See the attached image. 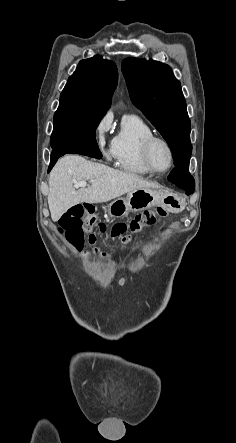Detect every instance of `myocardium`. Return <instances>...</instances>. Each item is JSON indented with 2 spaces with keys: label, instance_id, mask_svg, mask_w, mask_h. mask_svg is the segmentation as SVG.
I'll return each mask as SVG.
<instances>
[{
  "label": "myocardium",
  "instance_id": "obj_1",
  "mask_svg": "<svg viewBox=\"0 0 236 443\" xmlns=\"http://www.w3.org/2000/svg\"><path fill=\"white\" fill-rule=\"evenodd\" d=\"M162 143L163 145H165V147L167 148L168 152H169V156H170V162H169V166L165 169V170H158L155 168V166L153 165L152 159H151V150L152 147L155 143ZM141 153H142V159L143 162L145 164V166L149 169V171L151 173L154 174H165L167 172H169L173 165H174V150L172 145L169 143L168 140H166L163 137L160 136H156V135H152L147 137L144 142L142 143V148H141Z\"/></svg>",
  "mask_w": 236,
  "mask_h": 443
}]
</instances>
